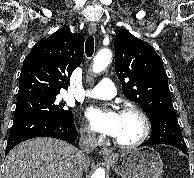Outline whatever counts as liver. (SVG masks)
I'll return each mask as SVG.
<instances>
[{"instance_id":"6515ba94","label":"liver","mask_w":194,"mask_h":178,"mask_svg":"<svg viewBox=\"0 0 194 178\" xmlns=\"http://www.w3.org/2000/svg\"><path fill=\"white\" fill-rule=\"evenodd\" d=\"M80 161V151L73 145L55 138L38 137L8 153L3 178H73ZM89 165L86 161V171Z\"/></svg>"}]
</instances>
